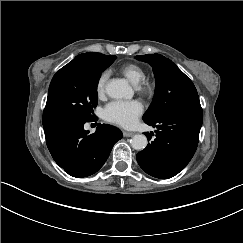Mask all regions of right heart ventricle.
<instances>
[{
    "label": "right heart ventricle",
    "mask_w": 243,
    "mask_h": 243,
    "mask_svg": "<svg viewBox=\"0 0 243 243\" xmlns=\"http://www.w3.org/2000/svg\"><path fill=\"white\" fill-rule=\"evenodd\" d=\"M119 71L134 85H137L145 77L144 67L136 62L124 64Z\"/></svg>",
    "instance_id": "1"
}]
</instances>
